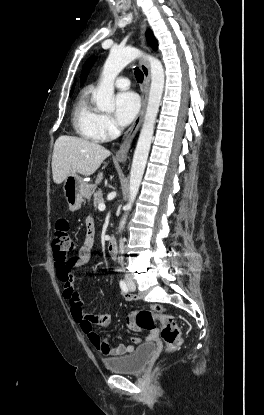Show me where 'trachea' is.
<instances>
[{"label": "trachea", "mask_w": 264, "mask_h": 415, "mask_svg": "<svg viewBox=\"0 0 264 415\" xmlns=\"http://www.w3.org/2000/svg\"><path fill=\"white\" fill-rule=\"evenodd\" d=\"M135 77L139 83L143 82V73L138 67L135 68Z\"/></svg>", "instance_id": "1"}]
</instances>
